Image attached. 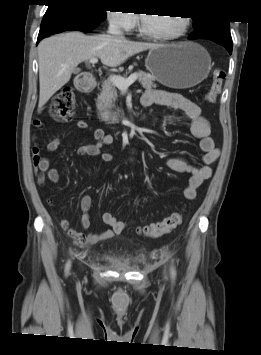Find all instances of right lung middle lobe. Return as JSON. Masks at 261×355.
<instances>
[{
  "label": "right lung middle lobe",
  "instance_id": "dd1d6c3e",
  "mask_svg": "<svg viewBox=\"0 0 261 355\" xmlns=\"http://www.w3.org/2000/svg\"><path fill=\"white\" fill-rule=\"evenodd\" d=\"M91 1L92 0L63 2V3H58V4H51L50 6L59 5V6L69 7V8L75 9V10L95 19V20H104L107 16L105 10H103L102 8H99L97 5H95L94 2H91Z\"/></svg>",
  "mask_w": 261,
  "mask_h": 355
}]
</instances>
